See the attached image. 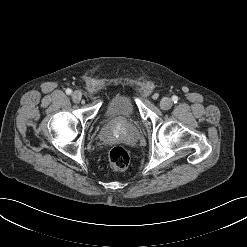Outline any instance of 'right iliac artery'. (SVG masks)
<instances>
[{
  "instance_id": "obj_1",
  "label": "right iliac artery",
  "mask_w": 247,
  "mask_h": 247,
  "mask_svg": "<svg viewBox=\"0 0 247 247\" xmlns=\"http://www.w3.org/2000/svg\"><path fill=\"white\" fill-rule=\"evenodd\" d=\"M66 93L68 94V95H70L71 93H72V90L71 89H66Z\"/></svg>"
}]
</instances>
